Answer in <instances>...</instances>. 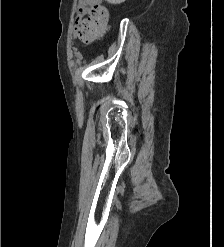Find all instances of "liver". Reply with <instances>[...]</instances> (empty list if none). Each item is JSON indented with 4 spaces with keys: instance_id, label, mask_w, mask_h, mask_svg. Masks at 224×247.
Listing matches in <instances>:
<instances>
[{
    "instance_id": "liver-1",
    "label": "liver",
    "mask_w": 224,
    "mask_h": 247,
    "mask_svg": "<svg viewBox=\"0 0 224 247\" xmlns=\"http://www.w3.org/2000/svg\"><path fill=\"white\" fill-rule=\"evenodd\" d=\"M106 2H109V4H122L125 0H106Z\"/></svg>"
}]
</instances>
